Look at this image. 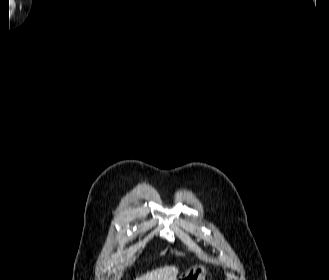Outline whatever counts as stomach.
I'll return each instance as SVG.
<instances>
[{
	"label": "stomach",
	"instance_id": "obj_1",
	"mask_svg": "<svg viewBox=\"0 0 329 280\" xmlns=\"http://www.w3.org/2000/svg\"><path fill=\"white\" fill-rule=\"evenodd\" d=\"M206 274L205 267L198 265L181 274L178 280H205Z\"/></svg>",
	"mask_w": 329,
	"mask_h": 280
}]
</instances>
